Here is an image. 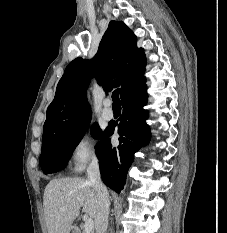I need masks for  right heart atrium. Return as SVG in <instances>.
<instances>
[{"instance_id":"obj_1","label":"right heart atrium","mask_w":227,"mask_h":233,"mask_svg":"<svg viewBox=\"0 0 227 233\" xmlns=\"http://www.w3.org/2000/svg\"><path fill=\"white\" fill-rule=\"evenodd\" d=\"M68 161L75 172H81L88 165L98 162L96 139L90 131H83L74 139L69 150Z\"/></svg>"}]
</instances>
